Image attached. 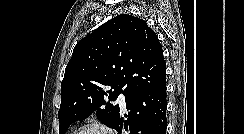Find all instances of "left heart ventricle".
Returning <instances> with one entry per match:
<instances>
[{
	"instance_id": "left-heart-ventricle-1",
	"label": "left heart ventricle",
	"mask_w": 244,
	"mask_h": 134,
	"mask_svg": "<svg viewBox=\"0 0 244 134\" xmlns=\"http://www.w3.org/2000/svg\"><path fill=\"white\" fill-rule=\"evenodd\" d=\"M80 134H103V133H101L98 130L90 129V130L83 131Z\"/></svg>"
}]
</instances>
